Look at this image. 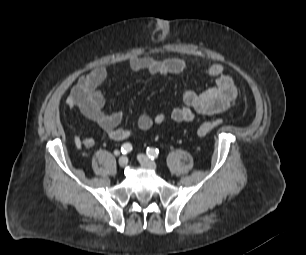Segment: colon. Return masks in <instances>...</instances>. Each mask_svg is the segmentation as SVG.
<instances>
[{
    "instance_id": "1",
    "label": "colon",
    "mask_w": 306,
    "mask_h": 255,
    "mask_svg": "<svg viewBox=\"0 0 306 255\" xmlns=\"http://www.w3.org/2000/svg\"><path fill=\"white\" fill-rule=\"evenodd\" d=\"M221 124H222L221 119L203 121L200 123V125L197 128V135L199 137H204L207 134H209L211 131L219 127Z\"/></svg>"
}]
</instances>
